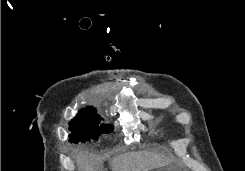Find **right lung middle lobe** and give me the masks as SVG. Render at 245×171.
Wrapping results in <instances>:
<instances>
[{"label": "right lung middle lobe", "mask_w": 245, "mask_h": 171, "mask_svg": "<svg viewBox=\"0 0 245 171\" xmlns=\"http://www.w3.org/2000/svg\"><path fill=\"white\" fill-rule=\"evenodd\" d=\"M100 116L93 107H87L80 111L70 123V142L78 143L90 140H97L99 135L113 131L112 127L100 124Z\"/></svg>", "instance_id": "obj_1"}]
</instances>
